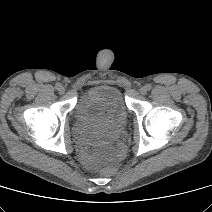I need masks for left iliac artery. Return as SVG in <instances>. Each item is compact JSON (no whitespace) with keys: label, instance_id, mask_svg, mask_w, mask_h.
Segmentation results:
<instances>
[{"label":"left iliac artery","instance_id":"left-iliac-artery-1","mask_svg":"<svg viewBox=\"0 0 212 212\" xmlns=\"http://www.w3.org/2000/svg\"><path fill=\"white\" fill-rule=\"evenodd\" d=\"M145 87L147 88V90H151L152 88L150 84H147Z\"/></svg>","mask_w":212,"mask_h":212}]
</instances>
